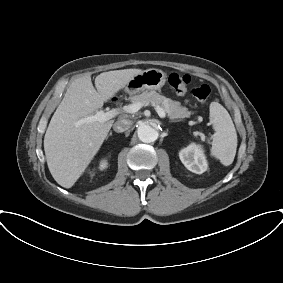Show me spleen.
<instances>
[{
	"label": "spleen",
	"mask_w": 283,
	"mask_h": 283,
	"mask_svg": "<svg viewBox=\"0 0 283 283\" xmlns=\"http://www.w3.org/2000/svg\"><path fill=\"white\" fill-rule=\"evenodd\" d=\"M210 122L215 130L211 155L224 166H229L236 155L237 133L228 111L218 102L210 104Z\"/></svg>",
	"instance_id": "3e777b00"
}]
</instances>
